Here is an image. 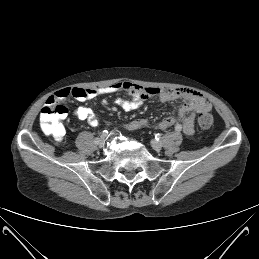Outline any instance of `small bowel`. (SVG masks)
Masks as SVG:
<instances>
[{
	"instance_id": "small-bowel-1",
	"label": "small bowel",
	"mask_w": 259,
	"mask_h": 259,
	"mask_svg": "<svg viewBox=\"0 0 259 259\" xmlns=\"http://www.w3.org/2000/svg\"><path fill=\"white\" fill-rule=\"evenodd\" d=\"M117 91H126L130 99L119 98L116 105L126 112L138 109L145 100L151 97H159L163 102H170L176 99H183L185 102L179 107L175 115L164 117L161 121L151 123L147 118L141 117L129 121L125 124L127 130L133 131L143 127L153 126L160 130H165L178 121L181 123V129L187 135H193L195 132V117L199 113L209 112L211 104L199 92L188 88H157L143 87L132 82H118L109 86L85 89V88H64L58 90L48 100H63L69 96L79 101H86L98 98L103 95L112 94ZM74 115L79 120H85L92 126H97L99 119L96 114L88 107L80 106L74 111Z\"/></svg>"
}]
</instances>
